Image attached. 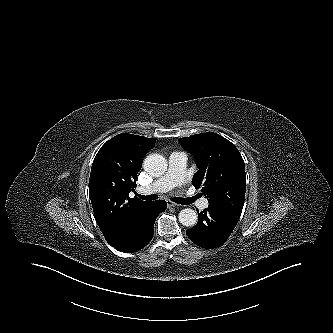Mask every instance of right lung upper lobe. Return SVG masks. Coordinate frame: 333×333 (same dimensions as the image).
Wrapping results in <instances>:
<instances>
[{
	"mask_svg": "<svg viewBox=\"0 0 333 333\" xmlns=\"http://www.w3.org/2000/svg\"><path fill=\"white\" fill-rule=\"evenodd\" d=\"M154 138L122 133L98 151L91 168L89 195L95 220L107 242L114 246L125 235L133 218L151 202L130 198L137 173Z\"/></svg>",
	"mask_w": 333,
	"mask_h": 333,
	"instance_id": "cb5924a9",
	"label": "right lung upper lobe"
}]
</instances>
